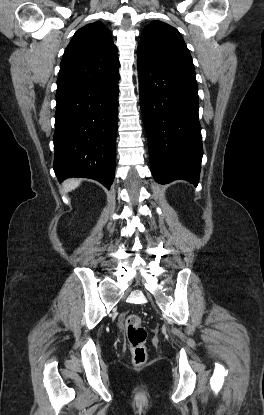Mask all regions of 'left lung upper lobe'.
Here are the masks:
<instances>
[{
	"instance_id": "5c2ea615",
	"label": "left lung upper lobe",
	"mask_w": 264,
	"mask_h": 415,
	"mask_svg": "<svg viewBox=\"0 0 264 415\" xmlns=\"http://www.w3.org/2000/svg\"><path fill=\"white\" fill-rule=\"evenodd\" d=\"M137 61L162 71L195 76L194 65L179 31L161 21L142 32Z\"/></svg>"
}]
</instances>
